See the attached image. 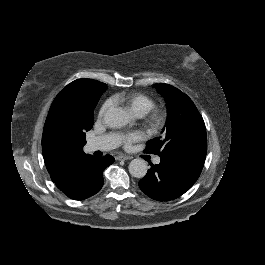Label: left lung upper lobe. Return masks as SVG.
<instances>
[{
	"instance_id": "5c2ea615",
	"label": "left lung upper lobe",
	"mask_w": 265,
	"mask_h": 265,
	"mask_svg": "<svg viewBox=\"0 0 265 265\" xmlns=\"http://www.w3.org/2000/svg\"><path fill=\"white\" fill-rule=\"evenodd\" d=\"M154 87L166 100L167 122L164 137L148 141L145 152L150 150L160 157L206 156V128L192 100L171 85L160 83Z\"/></svg>"
}]
</instances>
